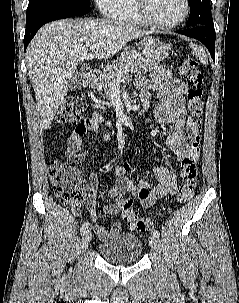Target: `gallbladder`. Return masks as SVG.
I'll use <instances>...</instances> for the list:
<instances>
[{
  "instance_id": "bac80fb5",
  "label": "gallbladder",
  "mask_w": 239,
  "mask_h": 303,
  "mask_svg": "<svg viewBox=\"0 0 239 303\" xmlns=\"http://www.w3.org/2000/svg\"><path fill=\"white\" fill-rule=\"evenodd\" d=\"M83 81V73L75 72L69 81V89L74 91L81 87Z\"/></svg>"
}]
</instances>
